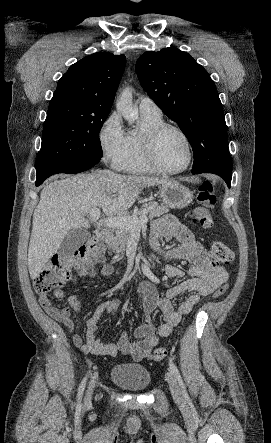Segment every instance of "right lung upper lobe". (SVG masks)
Wrapping results in <instances>:
<instances>
[{
    "instance_id": "cb5924a9",
    "label": "right lung upper lobe",
    "mask_w": 271,
    "mask_h": 443,
    "mask_svg": "<svg viewBox=\"0 0 271 443\" xmlns=\"http://www.w3.org/2000/svg\"><path fill=\"white\" fill-rule=\"evenodd\" d=\"M126 63L124 55L95 53L70 66L49 105L73 103L93 114H109Z\"/></svg>"
}]
</instances>
